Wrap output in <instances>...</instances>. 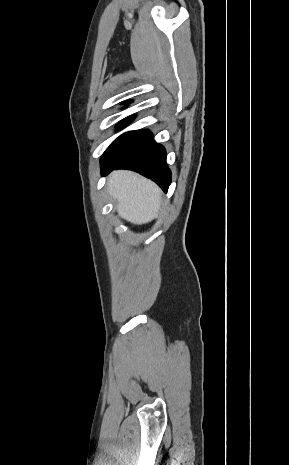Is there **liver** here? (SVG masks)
<instances>
[{"label":"liver","mask_w":289,"mask_h":465,"mask_svg":"<svg viewBox=\"0 0 289 465\" xmlns=\"http://www.w3.org/2000/svg\"><path fill=\"white\" fill-rule=\"evenodd\" d=\"M108 192L120 217L133 224L152 221L161 206V190L152 181L131 171H114L108 178Z\"/></svg>","instance_id":"1"}]
</instances>
